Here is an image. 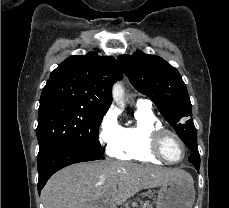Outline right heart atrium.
Instances as JSON below:
<instances>
[{"label": "right heart atrium", "instance_id": "right-heart-atrium-1", "mask_svg": "<svg viewBox=\"0 0 229 208\" xmlns=\"http://www.w3.org/2000/svg\"><path fill=\"white\" fill-rule=\"evenodd\" d=\"M121 126L112 110H108L100 120L98 139L110 154L120 142Z\"/></svg>", "mask_w": 229, "mask_h": 208}]
</instances>
